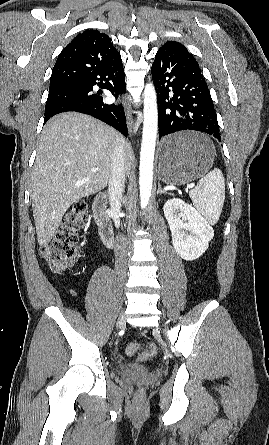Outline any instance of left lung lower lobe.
Instances as JSON below:
<instances>
[{
  "instance_id": "left-lung-lower-lobe-1",
  "label": "left lung lower lobe",
  "mask_w": 269,
  "mask_h": 445,
  "mask_svg": "<svg viewBox=\"0 0 269 445\" xmlns=\"http://www.w3.org/2000/svg\"><path fill=\"white\" fill-rule=\"evenodd\" d=\"M158 102L159 137L182 130L221 140L214 104L196 59L184 48L158 50L151 67ZM175 144L164 151L176 152Z\"/></svg>"
}]
</instances>
